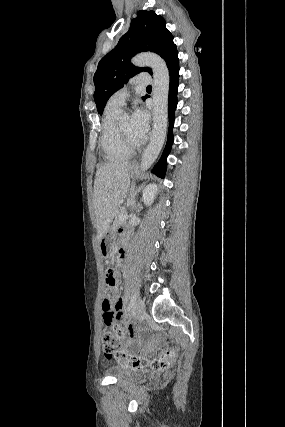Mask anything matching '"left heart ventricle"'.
<instances>
[{"label":"left heart ventricle","instance_id":"1","mask_svg":"<svg viewBox=\"0 0 285 427\" xmlns=\"http://www.w3.org/2000/svg\"><path fill=\"white\" fill-rule=\"evenodd\" d=\"M122 124H123V129H124L127 137L133 142H138L139 140H138V138L134 132L132 117L130 115H125L123 117Z\"/></svg>","mask_w":285,"mask_h":427}]
</instances>
